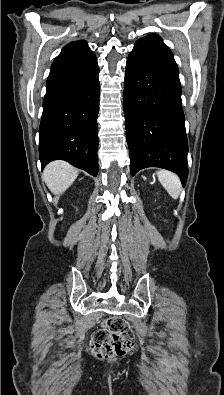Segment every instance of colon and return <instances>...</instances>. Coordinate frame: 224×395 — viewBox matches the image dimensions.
Wrapping results in <instances>:
<instances>
[{"mask_svg": "<svg viewBox=\"0 0 224 395\" xmlns=\"http://www.w3.org/2000/svg\"><path fill=\"white\" fill-rule=\"evenodd\" d=\"M134 346V333L130 325L120 317L104 321L91 337V353L98 359L124 355Z\"/></svg>", "mask_w": 224, "mask_h": 395, "instance_id": "obj_1", "label": "colon"}]
</instances>
